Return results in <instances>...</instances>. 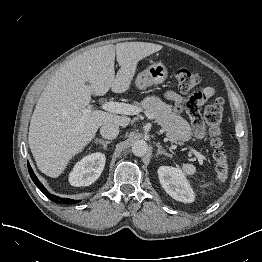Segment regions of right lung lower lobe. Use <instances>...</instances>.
<instances>
[{
  "mask_svg": "<svg viewBox=\"0 0 262 262\" xmlns=\"http://www.w3.org/2000/svg\"><path fill=\"white\" fill-rule=\"evenodd\" d=\"M28 170L30 173V176L32 178V180L34 181V183L37 185V187L47 196L49 197V199H51L54 202H57L58 197L53 196L52 194H49V192L46 190V188L41 184V182L37 179V177L35 176L33 170L31 169L29 163H28ZM78 201H74L71 199H64V203L65 204H72V203H77Z\"/></svg>",
  "mask_w": 262,
  "mask_h": 262,
  "instance_id": "98d812e1",
  "label": "right lung lower lobe"
}]
</instances>
